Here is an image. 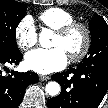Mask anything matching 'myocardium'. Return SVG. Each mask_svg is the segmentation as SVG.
Returning <instances> with one entry per match:
<instances>
[{"instance_id":"1","label":"myocardium","mask_w":108,"mask_h":108,"mask_svg":"<svg viewBox=\"0 0 108 108\" xmlns=\"http://www.w3.org/2000/svg\"><path fill=\"white\" fill-rule=\"evenodd\" d=\"M75 31H80L82 33L83 45L79 51L69 55V58L72 62H78L82 60L89 52L92 42L91 32L85 24L76 21L69 23L56 30V34L62 38L68 37Z\"/></svg>"}]
</instances>
